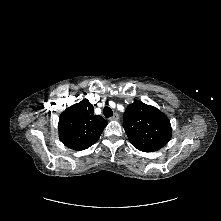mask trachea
<instances>
[{"label":"trachea","instance_id":"obj_1","mask_svg":"<svg viewBox=\"0 0 221 221\" xmlns=\"http://www.w3.org/2000/svg\"><path fill=\"white\" fill-rule=\"evenodd\" d=\"M103 114H104V116L106 118H109V117H111L113 115V111H112V109L110 107L106 106L103 109Z\"/></svg>","mask_w":221,"mask_h":221}]
</instances>
